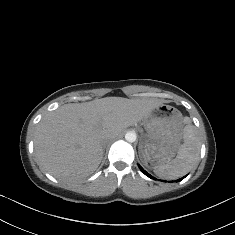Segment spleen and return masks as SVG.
Listing matches in <instances>:
<instances>
[{
	"label": "spleen",
	"mask_w": 235,
	"mask_h": 235,
	"mask_svg": "<svg viewBox=\"0 0 235 235\" xmlns=\"http://www.w3.org/2000/svg\"><path fill=\"white\" fill-rule=\"evenodd\" d=\"M183 139L176 158L154 167V173L161 179L173 180L187 174L199 161L200 140L197 136V128L189 123L190 118L185 117Z\"/></svg>",
	"instance_id": "3e777b00"
}]
</instances>
